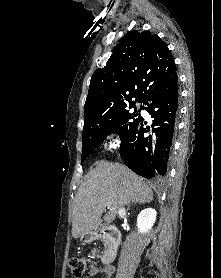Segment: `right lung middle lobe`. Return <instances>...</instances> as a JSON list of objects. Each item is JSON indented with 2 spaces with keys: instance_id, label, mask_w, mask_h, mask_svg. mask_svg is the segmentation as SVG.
Returning <instances> with one entry per match:
<instances>
[{
  "instance_id": "obj_1",
  "label": "right lung middle lobe",
  "mask_w": 221,
  "mask_h": 278,
  "mask_svg": "<svg viewBox=\"0 0 221 278\" xmlns=\"http://www.w3.org/2000/svg\"><path fill=\"white\" fill-rule=\"evenodd\" d=\"M131 108H134V112L129 111ZM141 118L140 110L137 111L135 104H132L110 115L85 122L82 133L81 161L83 162L107 135L116 133L123 140L128 132L139 123Z\"/></svg>"
}]
</instances>
